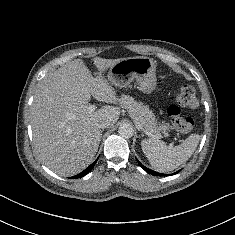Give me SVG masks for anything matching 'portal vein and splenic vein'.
<instances>
[{
    "label": "portal vein and splenic vein",
    "instance_id": "obj_1",
    "mask_svg": "<svg viewBox=\"0 0 235 235\" xmlns=\"http://www.w3.org/2000/svg\"><path fill=\"white\" fill-rule=\"evenodd\" d=\"M87 110H88L89 113H91V112H93V111L95 110V106H94V105H89L88 108H87ZM142 130H143V129H142ZM143 132H144L146 135H148V136H150V137H152V138H160V137H162L161 134H152V133H150V132H147L146 130H143ZM169 146L172 147V146H173V142H171Z\"/></svg>",
    "mask_w": 235,
    "mask_h": 235
}]
</instances>
